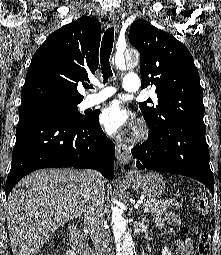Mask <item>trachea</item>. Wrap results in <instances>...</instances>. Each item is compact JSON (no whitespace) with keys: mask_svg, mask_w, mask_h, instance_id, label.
I'll return each mask as SVG.
<instances>
[{"mask_svg":"<svg viewBox=\"0 0 221 255\" xmlns=\"http://www.w3.org/2000/svg\"><path fill=\"white\" fill-rule=\"evenodd\" d=\"M114 42V27L108 28L102 38L100 48V63L103 74L104 83L107 82L108 78L113 75L110 66V55L113 48ZM86 88H93L91 85H86Z\"/></svg>","mask_w":221,"mask_h":255,"instance_id":"1","label":"trachea"}]
</instances>
